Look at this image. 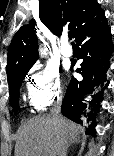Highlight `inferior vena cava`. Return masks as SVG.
<instances>
[{"instance_id": "obj_1", "label": "inferior vena cava", "mask_w": 114, "mask_h": 156, "mask_svg": "<svg viewBox=\"0 0 114 156\" xmlns=\"http://www.w3.org/2000/svg\"><path fill=\"white\" fill-rule=\"evenodd\" d=\"M62 101H63V96L60 93L57 97L56 103L53 105V107L50 110V115L54 119H60V117H61L60 116V110H61ZM66 148H67V144L65 143L62 145L58 156H66Z\"/></svg>"}]
</instances>
